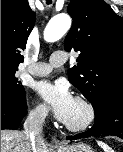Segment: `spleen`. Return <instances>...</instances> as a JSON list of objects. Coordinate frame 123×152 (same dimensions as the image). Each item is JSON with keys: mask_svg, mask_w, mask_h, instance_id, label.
Returning a JSON list of instances; mask_svg holds the SVG:
<instances>
[{"mask_svg": "<svg viewBox=\"0 0 123 152\" xmlns=\"http://www.w3.org/2000/svg\"><path fill=\"white\" fill-rule=\"evenodd\" d=\"M98 145L104 150V152H114L112 148H110L108 145H106L103 142H98Z\"/></svg>", "mask_w": 123, "mask_h": 152, "instance_id": "obj_1", "label": "spleen"}]
</instances>
